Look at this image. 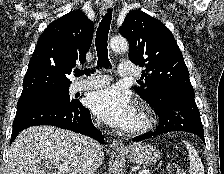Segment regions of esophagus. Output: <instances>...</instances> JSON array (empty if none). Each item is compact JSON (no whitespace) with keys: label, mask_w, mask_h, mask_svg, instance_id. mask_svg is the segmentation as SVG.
I'll use <instances>...</instances> for the list:
<instances>
[{"label":"esophagus","mask_w":224,"mask_h":174,"mask_svg":"<svg viewBox=\"0 0 224 174\" xmlns=\"http://www.w3.org/2000/svg\"><path fill=\"white\" fill-rule=\"evenodd\" d=\"M101 4H102V8L104 10H107V9L111 8L112 1L111 0H102ZM110 147L114 150L124 149L123 143L121 141L117 140V139L112 140V142L110 143Z\"/></svg>","instance_id":"34e87169"}]
</instances>
